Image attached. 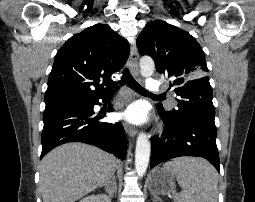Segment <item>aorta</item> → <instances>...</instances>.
Masks as SVG:
<instances>
[{
    "label": "aorta",
    "instance_id": "obj_1",
    "mask_svg": "<svg viewBox=\"0 0 255 202\" xmlns=\"http://www.w3.org/2000/svg\"><path fill=\"white\" fill-rule=\"evenodd\" d=\"M155 70V64L151 57L145 56L140 59V73L143 77H150ZM151 154V144L147 135L141 132L136 141L135 171L139 177L146 173Z\"/></svg>",
    "mask_w": 255,
    "mask_h": 202
}]
</instances>
